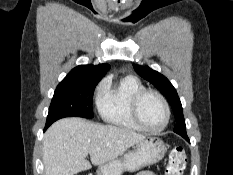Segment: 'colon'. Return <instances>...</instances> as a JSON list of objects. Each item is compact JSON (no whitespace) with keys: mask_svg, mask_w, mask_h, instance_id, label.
I'll list each match as a JSON object with an SVG mask.
<instances>
[{"mask_svg":"<svg viewBox=\"0 0 233 175\" xmlns=\"http://www.w3.org/2000/svg\"><path fill=\"white\" fill-rule=\"evenodd\" d=\"M187 164V154L183 147H174L168 157L164 175H182Z\"/></svg>","mask_w":233,"mask_h":175,"instance_id":"5ec220e1","label":"colon"}]
</instances>
